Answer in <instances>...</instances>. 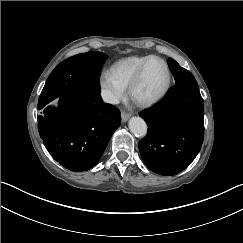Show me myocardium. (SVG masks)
I'll return each instance as SVG.
<instances>
[{"instance_id": "1", "label": "myocardium", "mask_w": 243, "mask_h": 243, "mask_svg": "<svg viewBox=\"0 0 243 243\" xmlns=\"http://www.w3.org/2000/svg\"><path fill=\"white\" fill-rule=\"evenodd\" d=\"M155 60L160 61L166 67L167 75H168L167 84H166L165 88L163 89V91L159 95L154 97L153 99H150L147 101H136L134 98L135 90L138 87V85L140 84L141 80L143 79L146 69L148 68L150 63ZM172 82H173V74H172L170 65L164 59H162L160 57H154V58L147 60L146 62H144L141 65L138 73L136 74V76L134 77V79L132 80V82L129 85V94H130L131 98L137 103L138 106H140L142 108H149V107H152V106L160 103L167 96V94L169 93V91L171 89Z\"/></svg>"}]
</instances>
